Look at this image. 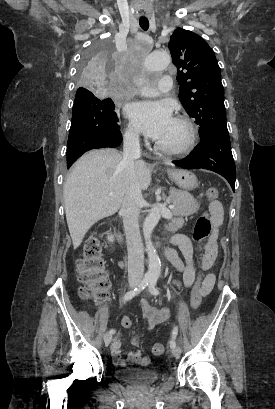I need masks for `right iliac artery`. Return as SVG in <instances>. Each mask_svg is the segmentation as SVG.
<instances>
[{
	"label": "right iliac artery",
	"instance_id": "1",
	"mask_svg": "<svg viewBox=\"0 0 275 409\" xmlns=\"http://www.w3.org/2000/svg\"><path fill=\"white\" fill-rule=\"evenodd\" d=\"M151 281L150 276H145L143 280L140 282V284L134 288L133 290L128 291L124 297H123V302L126 303L127 301L131 300L133 297H135L137 294H139L143 289H145ZM115 331L112 329L110 330V333L113 334Z\"/></svg>",
	"mask_w": 275,
	"mask_h": 409
}]
</instances>
